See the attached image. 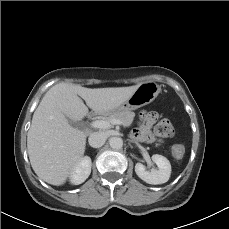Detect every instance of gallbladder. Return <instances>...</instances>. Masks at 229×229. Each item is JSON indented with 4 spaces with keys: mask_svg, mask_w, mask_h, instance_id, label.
Here are the masks:
<instances>
[{
    "mask_svg": "<svg viewBox=\"0 0 229 229\" xmlns=\"http://www.w3.org/2000/svg\"><path fill=\"white\" fill-rule=\"evenodd\" d=\"M68 122L70 125H72L75 128H80L81 127V122L80 121H73L71 119H68Z\"/></svg>",
    "mask_w": 229,
    "mask_h": 229,
    "instance_id": "obj_1",
    "label": "gallbladder"
}]
</instances>
